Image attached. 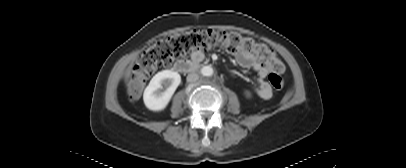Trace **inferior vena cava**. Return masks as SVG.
<instances>
[{"mask_svg":"<svg viewBox=\"0 0 406 168\" xmlns=\"http://www.w3.org/2000/svg\"><path fill=\"white\" fill-rule=\"evenodd\" d=\"M198 78H199V76L197 73H195V72L189 73L187 76V82H190V83L195 82L198 80Z\"/></svg>","mask_w":406,"mask_h":168,"instance_id":"obj_1","label":"inferior vena cava"}]
</instances>
